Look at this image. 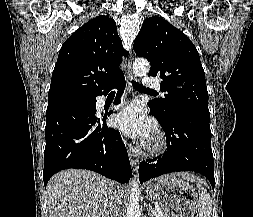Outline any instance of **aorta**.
<instances>
[{
  "mask_svg": "<svg viewBox=\"0 0 253 217\" xmlns=\"http://www.w3.org/2000/svg\"><path fill=\"white\" fill-rule=\"evenodd\" d=\"M149 70L150 64L145 59H137L133 63V73L136 77L146 76ZM139 195V178L138 175H135L131 183V193L129 196L126 217H140Z\"/></svg>",
  "mask_w": 253,
  "mask_h": 217,
  "instance_id": "aorta-1",
  "label": "aorta"
}]
</instances>
